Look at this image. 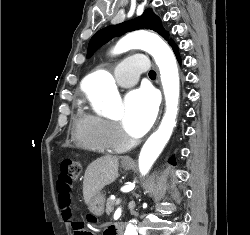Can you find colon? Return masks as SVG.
<instances>
[{"label": "colon", "instance_id": "1", "mask_svg": "<svg viewBox=\"0 0 250 235\" xmlns=\"http://www.w3.org/2000/svg\"><path fill=\"white\" fill-rule=\"evenodd\" d=\"M82 171V165L79 160L75 159H65L60 165V174L57 180L58 188L63 191L70 192L73 182L78 178ZM71 222L75 229V235H93L88 230L84 228L83 224L74 222L72 216L67 219Z\"/></svg>", "mask_w": 250, "mask_h": 235}]
</instances>
